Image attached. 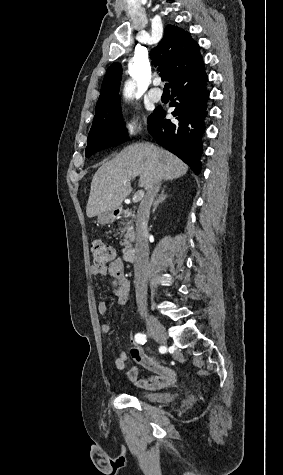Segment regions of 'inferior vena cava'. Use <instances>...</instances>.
Here are the masks:
<instances>
[{"label": "inferior vena cava", "mask_w": 283, "mask_h": 475, "mask_svg": "<svg viewBox=\"0 0 283 475\" xmlns=\"http://www.w3.org/2000/svg\"><path fill=\"white\" fill-rule=\"evenodd\" d=\"M161 180H153L146 188V196L143 198L137 212L136 243L134 259V283L136 291V303L138 311L147 309V269L149 261V245L147 239V224L150 216V208L153 200L159 192Z\"/></svg>", "instance_id": "inferior-vena-cava-1"}]
</instances>
